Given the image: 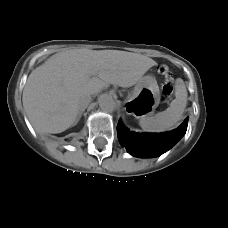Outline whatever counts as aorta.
<instances>
[{
  "label": "aorta",
  "instance_id": "762f6f07",
  "mask_svg": "<svg viewBox=\"0 0 228 228\" xmlns=\"http://www.w3.org/2000/svg\"><path fill=\"white\" fill-rule=\"evenodd\" d=\"M98 103L100 108L107 112H112L116 108L115 100L108 94L101 95L98 99Z\"/></svg>",
  "mask_w": 228,
  "mask_h": 228
}]
</instances>
